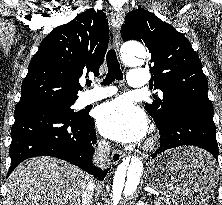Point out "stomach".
Instances as JSON below:
<instances>
[{
    "mask_svg": "<svg viewBox=\"0 0 222 205\" xmlns=\"http://www.w3.org/2000/svg\"><path fill=\"white\" fill-rule=\"evenodd\" d=\"M217 181L209 155L194 147L167 151L152 160L147 169L148 185L175 205H202L213 194Z\"/></svg>",
    "mask_w": 222,
    "mask_h": 205,
    "instance_id": "stomach-1",
    "label": "stomach"
}]
</instances>
